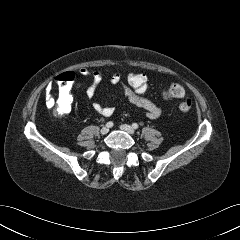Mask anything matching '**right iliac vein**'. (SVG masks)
<instances>
[{
    "instance_id": "obj_1",
    "label": "right iliac vein",
    "mask_w": 240,
    "mask_h": 240,
    "mask_svg": "<svg viewBox=\"0 0 240 240\" xmlns=\"http://www.w3.org/2000/svg\"><path fill=\"white\" fill-rule=\"evenodd\" d=\"M108 132H109V128L106 126L101 129V134L103 135L107 134Z\"/></svg>"
}]
</instances>
